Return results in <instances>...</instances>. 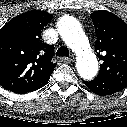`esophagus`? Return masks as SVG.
Masks as SVG:
<instances>
[{
    "instance_id": "obj_1",
    "label": "esophagus",
    "mask_w": 127,
    "mask_h": 127,
    "mask_svg": "<svg viewBox=\"0 0 127 127\" xmlns=\"http://www.w3.org/2000/svg\"><path fill=\"white\" fill-rule=\"evenodd\" d=\"M61 60L63 62H73L75 60V57L74 56H70V57H63L61 58Z\"/></svg>"
}]
</instances>
